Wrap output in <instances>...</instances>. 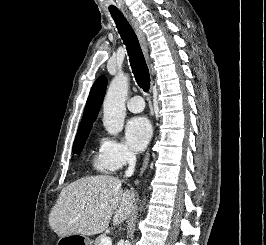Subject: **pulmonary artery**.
<instances>
[{
	"mask_svg": "<svg viewBox=\"0 0 266 245\" xmlns=\"http://www.w3.org/2000/svg\"><path fill=\"white\" fill-rule=\"evenodd\" d=\"M126 106L129 111L134 113L142 112L143 109L145 108L142 96H131V99L127 101Z\"/></svg>",
	"mask_w": 266,
	"mask_h": 245,
	"instance_id": "e3ab8cb5",
	"label": "pulmonary artery"
}]
</instances>
